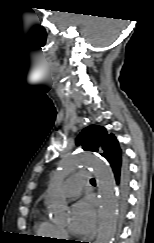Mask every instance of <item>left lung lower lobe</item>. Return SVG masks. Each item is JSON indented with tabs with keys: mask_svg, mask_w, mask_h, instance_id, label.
I'll return each mask as SVG.
<instances>
[{
	"mask_svg": "<svg viewBox=\"0 0 154 243\" xmlns=\"http://www.w3.org/2000/svg\"><path fill=\"white\" fill-rule=\"evenodd\" d=\"M122 156V154H121ZM111 167L114 173V177L116 180V184L120 193V205L122 209V213L124 214L126 205H127V197L129 192V171L128 166L126 164L125 159L122 157V162H118V160L111 162Z\"/></svg>",
	"mask_w": 154,
	"mask_h": 243,
	"instance_id": "obj_1",
	"label": "left lung lower lobe"
}]
</instances>
